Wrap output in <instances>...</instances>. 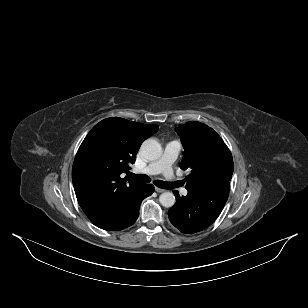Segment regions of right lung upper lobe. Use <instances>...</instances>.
Returning <instances> with one entry per match:
<instances>
[{"label":"right lung upper lobe","instance_id":"right-lung-upper-lobe-1","mask_svg":"<svg viewBox=\"0 0 308 308\" xmlns=\"http://www.w3.org/2000/svg\"><path fill=\"white\" fill-rule=\"evenodd\" d=\"M158 127L107 118L85 137L73 163L72 181L79 205L91 222L116 219L129 206L143 184L127 182L121 174L129 171L140 145Z\"/></svg>","mask_w":308,"mask_h":308}]
</instances>
